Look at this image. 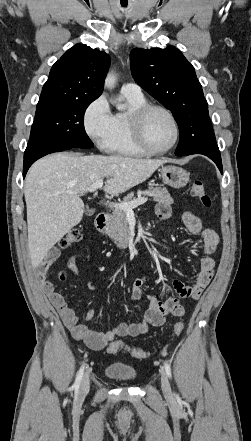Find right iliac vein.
Here are the masks:
<instances>
[{
    "label": "right iliac vein",
    "instance_id": "1",
    "mask_svg": "<svg viewBox=\"0 0 251 441\" xmlns=\"http://www.w3.org/2000/svg\"><path fill=\"white\" fill-rule=\"evenodd\" d=\"M89 389H90V380L88 373H86L80 385L79 399H83L88 394Z\"/></svg>",
    "mask_w": 251,
    "mask_h": 441
}]
</instances>
